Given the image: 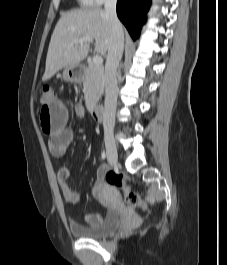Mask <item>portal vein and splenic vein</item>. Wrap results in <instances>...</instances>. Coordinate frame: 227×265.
I'll list each match as a JSON object with an SVG mask.
<instances>
[{"label": "portal vein and splenic vein", "instance_id": "obj_1", "mask_svg": "<svg viewBox=\"0 0 227 265\" xmlns=\"http://www.w3.org/2000/svg\"><path fill=\"white\" fill-rule=\"evenodd\" d=\"M75 44H82V43H84V42H88V43H92L93 42V40L91 39V38H89V37H85V38H79V39H75L74 41H73ZM93 63H94V65H96L97 67H100V66H102V64H103V58L101 57V56H99V55H95L94 57H93Z\"/></svg>", "mask_w": 227, "mask_h": 265}]
</instances>
